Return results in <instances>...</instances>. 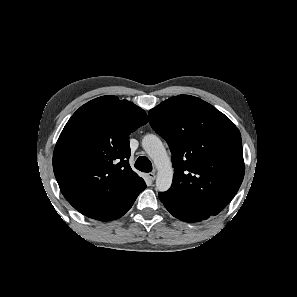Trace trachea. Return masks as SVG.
<instances>
[{
	"instance_id": "3493384b",
	"label": "trachea",
	"mask_w": 297,
	"mask_h": 297,
	"mask_svg": "<svg viewBox=\"0 0 297 297\" xmlns=\"http://www.w3.org/2000/svg\"><path fill=\"white\" fill-rule=\"evenodd\" d=\"M135 168L142 172L148 173L152 171V163L147 157L142 156L136 160Z\"/></svg>"
}]
</instances>
